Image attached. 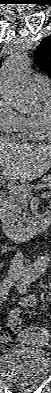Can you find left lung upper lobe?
I'll list each match as a JSON object with an SVG mask.
<instances>
[{
    "mask_svg": "<svg viewBox=\"0 0 51 393\" xmlns=\"http://www.w3.org/2000/svg\"><path fill=\"white\" fill-rule=\"evenodd\" d=\"M34 56L39 69L51 77V36L43 38Z\"/></svg>",
    "mask_w": 51,
    "mask_h": 393,
    "instance_id": "1",
    "label": "left lung upper lobe"
}]
</instances>
